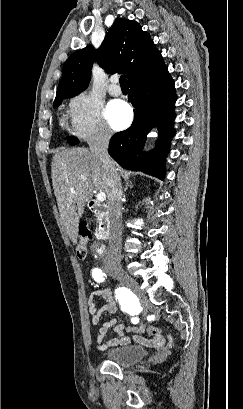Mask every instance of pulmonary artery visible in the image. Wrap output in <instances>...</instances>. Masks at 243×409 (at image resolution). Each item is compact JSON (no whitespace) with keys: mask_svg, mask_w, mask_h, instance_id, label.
I'll use <instances>...</instances> for the list:
<instances>
[{"mask_svg":"<svg viewBox=\"0 0 243 409\" xmlns=\"http://www.w3.org/2000/svg\"><path fill=\"white\" fill-rule=\"evenodd\" d=\"M117 83H118V78L113 76L110 79V85H109V88H108L109 94L112 95V96H115V97L120 96L121 93H122L121 88Z\"/></svg>","mask_w":243,"mask_h":409,"instance_id":"pulmonary-artery-1","label":"pulmonary artery"}]
</instances>
